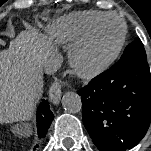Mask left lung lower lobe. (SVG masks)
Wrapping results in <instances>:
<instances>
[{"label":"left lung lower lobe","mask_w":151,"mask_h":151,"mask_svg":"<svg viewBox=\"0 0 151 151\" xmlns=\"http://www.w3.org/2000/svg\"><path fill=\"white\" fill-rule=\"evenodd\" d=\"M83 123L100 151H125L145 136L151 119L147 58L112 66L77 92Z\"/></svg>","instance_id":"0a47b994"}]
</instances>
